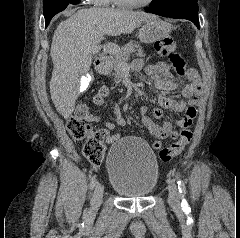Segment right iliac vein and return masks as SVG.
<instances>
[{"label": "right iliac vein", "instance_id": "obj_1", "mask_svg": "<svg viewBox=\"0 0 240 238\" xmlns=\"http://www.w3.org/2000/svg\"><path fill=\"white\" fill-rule=\"evenodd\" d=\"M103 192H104L103 185L100 183H97L95 186L92 200H91V212L92 213H95L98 210V208L102 202Z\"/></svg>", "mask_w": 240, "mask_h": 238}]
</instances>
